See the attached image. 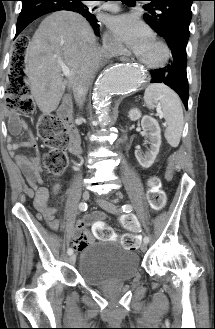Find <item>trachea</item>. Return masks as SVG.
I'll list each match as a JSON object with an SVG mask.
<instances>
[{
	"instance_id": "1",
	"label": "trachea",
	"mask_w": 215,
	"mask_h": 329,
	"mask_svg": "<svg viewBox=\"0 0 215 329\" xmlns=\"http://www.w3.org/2000/svg\"><path fill=\"white\" fill-rule=\"evenodd\" d=\"M123 3H125L126 5L132 6L135 4V0H120Z\"/></svg>"
}]
</instances>
